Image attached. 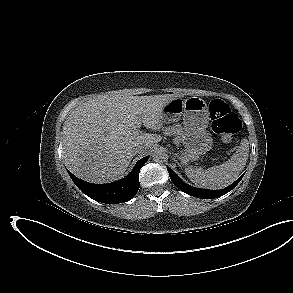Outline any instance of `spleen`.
Listing matches in <instances>:
<instances>
[{"label":"spleen","mask_w":293,"mask_h":293,"mask_svg":"<svg viewBox=\"0 0 293 293\" xmlns=\"http://www.w3.org/2000/svg\"><path fill=\"white\" fill-rule=\"evenodd\" d=\"M248 156V140L242 139L236 152L225 163L207 170L189 167L185 169V172L187 177L198 187L222 189L238 178L247 163Z\"/></svg>","instance_id":"3e777b00"}]
</instances>
